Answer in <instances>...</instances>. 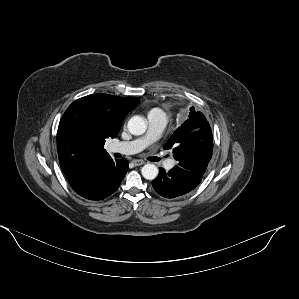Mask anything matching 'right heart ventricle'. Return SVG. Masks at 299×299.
<instances>
[{"label": "right heart ventricle", "mask_w": 299, "mask_h": 299, "mask_svg": "<svg viewBox=\"0 0 299 299\" xmlns=\"http://www.w3.org/2000/svg\"><path fill=\"white\" fill-rule=\"evenodd\" d=\"M156 111H161V110L158 109V108H153V109H151V110L149 111L148 115L151 114V113H153V112H156Z\"/></svg>", "instance_id": "e07e8e85"}]
</instances>
